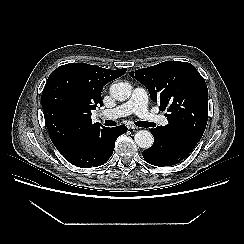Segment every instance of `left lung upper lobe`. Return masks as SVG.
Returning a JSON list of instances; mask_svg holds the SVG:
<instances>
[{
    "instance_id": "obj_1",
    "label": "left lung upper lobe",
    "mask_w": 244,
    "mask_h": 244,
    "mask_svg": "<svg viewBox=\"0 0 244 244\" xmlns=\"http://www.w3.org/2000/svg\"><path fill=\"white\" fill-rule=\"evenodd\" d=\"M142 83L160 110L167 108L168 124L158 126V138L191 152L202 137L208 119V89L190 63L166 61L129 73Z\"/></svg>"
}]
</instances>
